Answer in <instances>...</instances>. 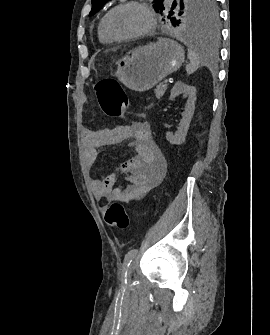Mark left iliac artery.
Wrapping results in <instances>:
<instances>
[{"mask_svg": "<svg viewBox=\"0 0 270 335\" xmlns=\"http://www.w3.org/2000/svg\"><path fill=\"white\" fill-rule=\"evenodd\" d=\"M138 253V249H131L124 258L123 266H122V282L127 284L126 280V270L127 267L130 265L136 254Z\"/></svg>", "mask_w": 270, "mask_h": 335, "instance_id": "44dca946", "label": "left iliac artery"}]
</instances>
